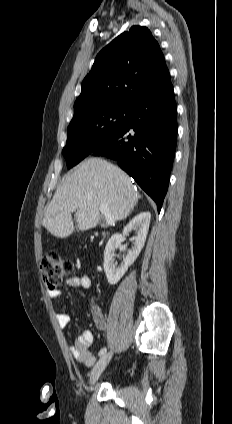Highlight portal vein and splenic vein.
Instances as JSON below:
<instances>
[{"mask_svg":"<svg viewBox=\"0 0 232 424\" xmlns=\"http://www.w3.org/2000/svg\"><path fill=\"white\" fill-rule=\"evenodd\" d=\"M99 210L101 211V213H102V214H104V215H105V218H106V224H107V225H112V224L115 222V218H114V216H113V215H111V214L109 213V208H108V206H107V205H105V204H101V205L99 206Z\"/></svg>","mask_w":232,"mask_h":424,"instance_id":"1","label":"portal vein and splenic vein"}]
</instances>
